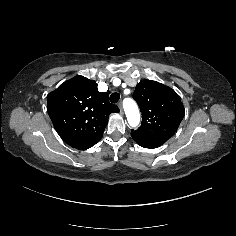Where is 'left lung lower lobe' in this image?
Listing matches in <instances>:
<instances>
[{
	"mask_svg": "<svg viewBox=\"0 0 236 236\" xmlns=\"http://www.w3.org/2000/svg\"><path fill=\"white\" fill-rule=\"evenodd\" d=\"M131 136L140 146L144 148H157L167 141L159 138H143L132 132Z\"/></svg>",
	"mask_w": 236,
	"mask_h": 236,
	"instance_id": "0a47b994",
	"label": "left lung lower lobe"
}]
</instances>
